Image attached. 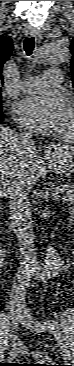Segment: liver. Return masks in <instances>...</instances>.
Masks as SVG:
<instances>
[{"label": "liver", "mask_w": 74, "mask_h": 366, "mask_svg": "<svg viewBox=\"0 0 74 366\" xmlns=\"http://www.w3.org/2000/svg\"><path fill=\"white\" fill-rule=\"evenodd\" d=\"M45 173L44 163L36 149L31 151L20 144L19 135L0 127V194L7 196L14 180H23L28 186L35 185Z\"/></svg>", "instance_id": "1"}]
</instances>
